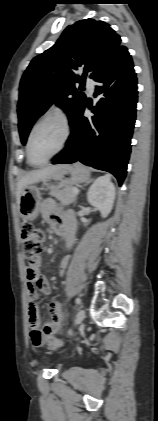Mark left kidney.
I'll return each mask as SVG.
<instances>
[{"label": "left kidney", "mask_w": 158, "mask_h": 421, "mask_svg": "<svg viewBox=\"0 0 158 421\" xmlns=\"http://www.w3.org/2000/svg\"><path fill=\"white\" fill-rule=\"evenodd\" d=\"M87 200L101 212L103 218L107 217L115 200V186L110 177L97 178L87 192Z\"/></svg>", "instance_id": "5707ae66"}]
</instances>
